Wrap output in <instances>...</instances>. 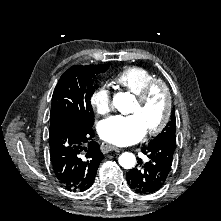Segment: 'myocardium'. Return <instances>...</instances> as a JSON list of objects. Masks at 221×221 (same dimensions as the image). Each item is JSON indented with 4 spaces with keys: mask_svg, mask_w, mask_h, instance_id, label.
<instances>
[{
    "mask_svg": "<svg viewBox=\"0 0 221 221\" xmlns=\"http://www.w3.org/2000/svg\"><path fill=\"white\" fill-rule=\"evenodd\" d=\"M162 90L165 94V112L163 117L161 118L160 122L148 129L146 131V135L148 136H154L159 134L164 130V128L167 126L171 115H172V95L171 91L169 89V86L162 80L156 79L152 82H150L143 91L137 96V103L140 107H144L147 102L149 101L150 97L156 90Z\"/></svg>",
    "mask_w": 221,
    "mask_h": 221,
    "instance_id": "f54148a6",
    "label": "myocardium"
}]
</instances>
